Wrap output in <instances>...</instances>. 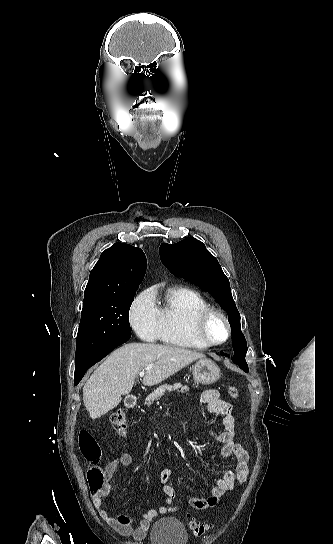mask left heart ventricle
I'll use <instances>...</instances> for the list:
<instances>
[{
	"instance_id": "left-heart-ventricle-1",
	"label": "left heart ventricle",
	"mask_w": 333,
	"mask_h": 544,
	"mask_svg": "<svg viewBox=\"0 0 333 544\" xmlns=\"http://www.w3.org/2000/svg\"><path fill=\"white\" fill-rule=\"evenodd\" d=\"M208 333L213 340L222 341L227 335V330L220 318L213 317L208 326Z\"/></svg>"
}]
</instances>
